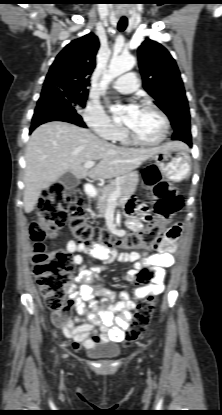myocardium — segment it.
<instances>
[{"instance_id": "1", "label": "myocardium", "mask_w": 222, "mask_h": 415, "mask_svg": "<svg viewBox=\"0 0 222 415\" xmlns=\"http://www.w3.org/2000/svg\"><path fill=\"white\" fill-rule=\"evenodd\" d=\"M140 107H144V108H150L152 110H154L162 119L163 121V125H164V129H163V133L161 135V137L155 141H146L143 140L141 138H139L128 126L124 125L123 126V131L124 134L126 135L127 139L136 144V145H140V146H157L162 144L166 139L167 136L169 134V130H170V120L168 118V116L166 115V113L159 108L157 105H155L154 103L150 102V101H142L140 104Z\"/></svg>"}]
</instances>
